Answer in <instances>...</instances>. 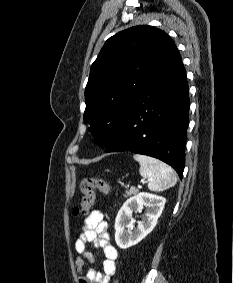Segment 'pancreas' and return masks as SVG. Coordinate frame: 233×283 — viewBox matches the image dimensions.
<instances>
[{
  "label": "pancreas",
  "instance_id": "1",
  "mask_svg": "<svg viewBox=\"0 0 233 283\" xmlns=\"http://www.w3.org/2000/svg\"><path fill=\"white\" fill-rule=\"evenodd\" d=\"M138 189L136 188H130V190L125 191L124 197H128L131 195H136L138 193Z\"/></svg>",
  "mask_w": 233,
  "mask_h": 283
}]
</instances>
